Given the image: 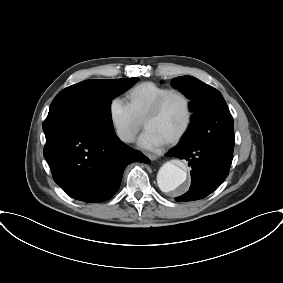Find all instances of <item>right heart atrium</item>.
<instances>
[{"label": "right heart atrium", "mask_w": 283, "mask_h": 283, "mask_svg": "<svg viewBox=\"0 0 283 283\" xmlns=\"http://www.w3.org/2000/svg\"><path fill=\"white\" fill-rule=\"evenodd\" d=\"M108 116L117 137L123 142H132L142 124L128 104L118 97L113 98L109 103Z\"/></svg>", "instance_id": "1"}]
</instances>
